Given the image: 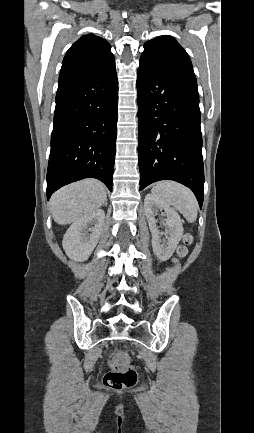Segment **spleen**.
Masks as SVG:
<instances>
[{
  "instance_id": "1",
  "label": "spleen",
  "mask_w": 254,
  "mask_h": 433,
  "mask_svg": "<svg viewBox=\"0 0 254 433\" xmlns=\"http://www.w3.org/2000/svg\"><path fill=\"white\" fill-rule=\"evenodd\" d=\"M151 192L178 210L188 222L196 221L198 203L187 187L174 181H161L152 188Z\"/></svg>"
}]
</instances>
